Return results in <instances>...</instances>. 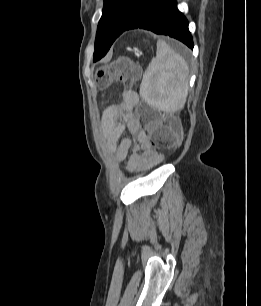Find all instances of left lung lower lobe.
<instances>
[{"instance_id":"0a47b994","label":"left lung lower lobe","mask_w":261,"mask_h":306,"mask_svg":"<svg viewBox=\"0 0 261 306\" xmlns=\"http://www.w3.org/2000/svg\"><path fill=\"white\" fill-rule=\"evenodd\" d=\"M136 28L168 35L193 49L188 21L177 9L175 0H145L124 31Z\"/></svg>"}]
</instances>
